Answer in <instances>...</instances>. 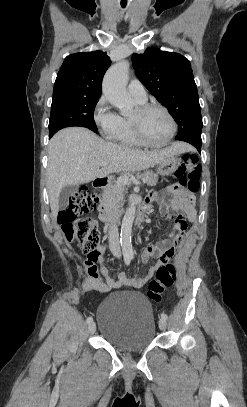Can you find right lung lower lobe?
I'll list each match as a JSON object with an SVG mask.
<instances>
[{
	"label": "right lung lower lobe",
	"mask_w": 247,
	"mask_h": 407,
	"mask_svg": "<svg viewBox=\"0 0 247 407\" xmlns=\"http://www.w3.org/2000/svg\"><path fill=\"white\" fill-rule=\"evenodd\" d=\"M53 135H49V138H51Z\"/></svg>",
	"instance_id": "1"
}]
</instances>
